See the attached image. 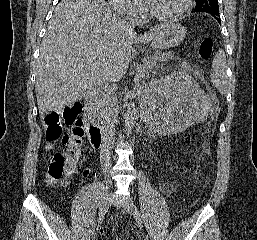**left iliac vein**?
<instances>
[{
  "label": "left iliac vein",
  "mask_w": 257,
  "mask_h": 240,
  "mask_svg": "<svg viewBox=\"0 0 257 240\" xmlns=\"http://www.w3.org/2000/svg\"><path fill=\"white\" fill-rule=\"evenodd\" d=\"M121 208L127 214H130L132 212L131 203L128 200H125L121 203Z\"/></svg>",
  "instance_id": "obj_1"
}]
</instances>
